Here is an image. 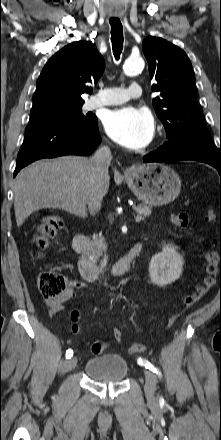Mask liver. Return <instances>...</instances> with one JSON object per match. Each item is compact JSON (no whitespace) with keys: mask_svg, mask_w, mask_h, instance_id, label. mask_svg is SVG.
Here are the masks:
<instances>
[{"mask_svg":"<svg viewBox=\"0 0 221 440\" xmlns=\"http://www.w3.org/2000/svg\"><path fill=\"white\" fill-rule=\"evenodd\" d=\"M109 180L104 182L103 196ZM90 188L91 170L85 157L64 156L32 163L18 173L14 182L17 225L20 227L33 212L47 208L85 217Z\"/></svg>","mask_w":221,"mask_h":440,"instance_id":"6515ba94","label":"liver"}]
</instances>
